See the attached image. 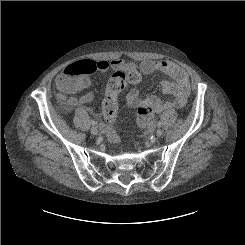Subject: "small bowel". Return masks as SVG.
I'll return each mask as SVG.
<instances>
[{"mask_svg": "<svg viewBox=\"0 0 245 245\" xmlns=\"http://www.w3.org/2000/svg\"><path fill=\"white\" fill-rule=\"evenodd\" d=\"M95 63L97 66V71L104 72L111 70L113 72V76L116 75L119 71L126 69V64L122 59H113L110 61L99 60ZM137 68L142 72L143 75H150L154 72H159L171 77L173 81H164L162 83V90L164 93L171 95L172 98L165 101L154 96L142 99L139 95V90L137 88H132L129 90L126 96L127 104L130 108H135L141 103H145L151 105L156 113H160L169 108L183 107L186 104L190 94V81L187 73L181 67L166 59H160L155 61L146 60L138 65ZM64 77V71L57 76V86L60 79ZM86 83V87H88L91 83L89 78H86ZM107 93L108 86L105 90V96ZM93 99L94 94L89 92L78 98L70 96L66 99V102L71 106H78L81 104L89 103ZM103 130L105 131L106 128H103Z\"/></svg>", "mask_w": 245, "mask_h": 245, "instance_id": "small-bowel-1", "label": "small bowel"}]
</instances>
